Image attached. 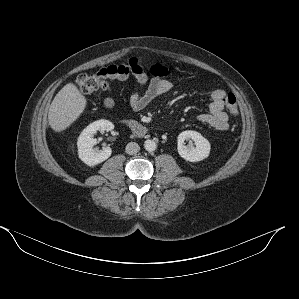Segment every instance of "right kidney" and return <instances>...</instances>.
Masks as SVG:
<instances>
[{"mask_svg":"<svg viewBox=\"0 0 299 299\" xmlns=\"http://www.w3.org/2000/svg\"><path fill=\"white\" fill-rule=\"evenodd\" d=\"M113 129V123L108 120H98L88 125L82 131L77 141L80 160L88 166H95L107 160L111 156L112 150L110 147H103L102 150H96L94 146L97 140L94 138V134L98 131L108 132Z\"/></svg>","mask_w":299,"mask_h":299,"instance_id":"obj_1","label":"right kidney"}]
</instances>
